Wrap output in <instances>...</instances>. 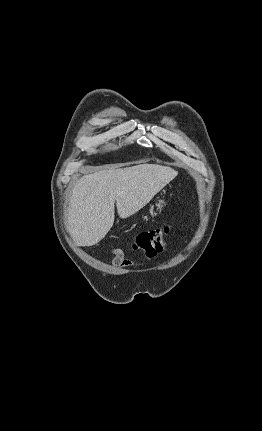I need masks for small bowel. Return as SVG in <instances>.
<instances>
[{
    "label": "small bowel",
    "mask_w": 262,
    "mask_h": 431,
    "mask_svg": "<svg viewBox=\"0 0 262 431\" xmlns=\"http://www.w3.org/2000/svg\"><path fill=\"white\" fill-rule=\"evenodd\" d=\"M114 263L120 267H125L128 265L127 263H124L123 261H114Z\"/></svg>",
    "instance_id": "obj_1"
}]
</instances>
